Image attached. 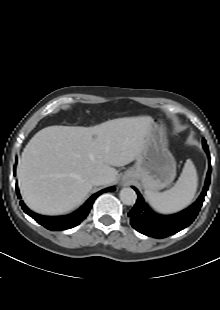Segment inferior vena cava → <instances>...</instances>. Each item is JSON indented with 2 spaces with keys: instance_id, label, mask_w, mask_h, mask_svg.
Masks as SVG:
<instances>
[{
  "instance_id": "1",
  "label": "inferior vena cava",
  "mask_w": 220,
  "mask_h": 310,
  "mask_svg": "<svg viewBox=\"0 0 220 310\" xmlns=\"http://www.w3.org/2000/svg\"><path fill=\"white\" fill-rule=\"evenodd\" d=\"M91 182L93 185L99 186V185H104L107 183V177L104 175H95L92 179Z\"/></svg>"
}]
</instances>
